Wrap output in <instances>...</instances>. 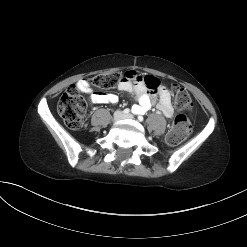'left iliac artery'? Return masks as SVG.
I'll return each instance as SVG.
<instances>
[{"label": "left iliac artery", "instance_id": "1", "mask_svg": "<svg viewBox=\"0 0 247 247\" xmlns=\"http://www.w3.org/2000/svg\"><path fill=\"white\" fill-rule=\"evenodd\" d=\"M138 120L142 122L143 121V117L142 116H138Z\"/></svg>", "mask_w": 247, "mask_h": 247}]
</instances>
